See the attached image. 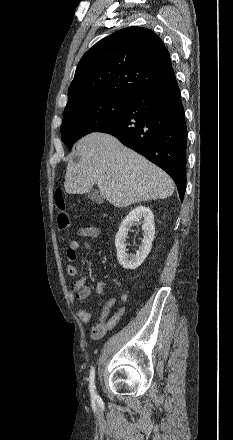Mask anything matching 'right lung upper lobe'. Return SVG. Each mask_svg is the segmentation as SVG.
<instances>
[{"label":"right lung upper lobe","instance_id":"cb5924a9","mask_svg":"<svg viewBox=\"0 0 233 440\" xmlns=\"http://www.w3.org/2000/svg\"><path fill=\"white\" fill-rule=\"evenodd\" d=\"M172 75L169 52L155 33L142 27L124 28L83 55L67 105L96 97L130 99Z\"/></svg>","mask_w":233,"mask_h":440}]
</instances>
